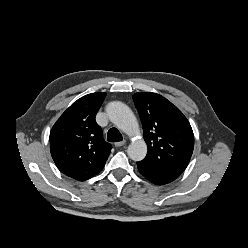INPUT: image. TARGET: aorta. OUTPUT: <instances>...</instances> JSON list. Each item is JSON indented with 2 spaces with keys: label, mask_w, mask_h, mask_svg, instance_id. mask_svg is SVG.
I'll list each match as a JSON object with an SVG mask.
<instances>
[{
  "label": "aorta",
  "mask_w": 248,
  "mask_h": 248,
  "mask_svg": "<svg viewBox=\"0 0 248 248\" xmlns=\"http://www.w3.org/2000/svg\"><path fill=\"white\" fill-rule=\"evenodd\" d=\"M110 121L129 136L140 135L139 124L131 109L120 101L110 102L106 107ZM127 154L134 161H141L147 154L143 139H136L128 146Z\"/></svg>",
  "instance_id": "762f6f07"
}]
</instances>
